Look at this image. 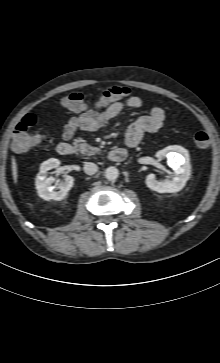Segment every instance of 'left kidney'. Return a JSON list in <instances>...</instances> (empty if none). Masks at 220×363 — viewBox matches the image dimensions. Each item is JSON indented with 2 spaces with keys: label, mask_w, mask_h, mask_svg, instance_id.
I'll list each match as a JSON object with an SVG mask.
<instances>
[{
  "label": "left kidney",
  "mask_w": 220,
  "mask_h": 363,
  "mask_svg": "<svg viewBox=\"0 0 220 363\" xmlns=\"http://www.w3.org/2000/svg\"><path fill=\"white\" fill-rule=\"evenodd\" d=\"M155 156L158 159L167 157V163L173 169L174 178L171 181L160 182L156 180L154 174H149L145 180L147 187L158 193H174L181 190L191 173L188 151L174 145L159 150Z\"/></svg>",
  "instance_id": "1"
}]
</instances>
